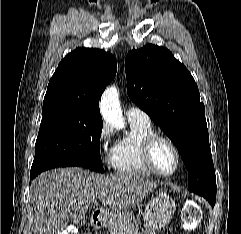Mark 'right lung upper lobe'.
<instances>
[{
	"label": "right lung upper lobe",
	"mask_w": 241,
	"mask_h": 234,
	"mask_svg": "<svg viewBox=\"0 0 241 234\" xmlns=\"http://www.w3.org/2000/svg\"><path fill=\"white\" fill-rule=\"evenodd\" d=\"M116 72L117 62L110 53L99 49H75L59 63L50 79L43 109L71 108L85 118L102 120L99 100Z\"/></svg>",
	"instance_id": "right-lung-upper-lobe-1"
}]
</instances>
